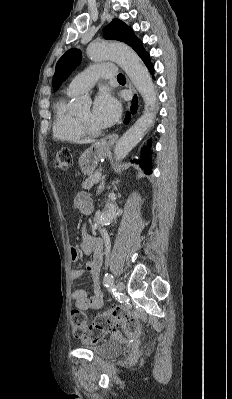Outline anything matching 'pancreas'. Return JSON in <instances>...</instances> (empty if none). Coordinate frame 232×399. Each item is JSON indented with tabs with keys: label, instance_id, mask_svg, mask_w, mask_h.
Returning <instances> with one entry per match:
<instances>
[{
	"label": "pancreas",
	"instance_id": "obj_1",
	"mask_svg": "<svg viewBox=\"0 0 232 399\" xmlns=\"http://www.w3.org/2000/svg\"><path fill=\"white\" fill-rule=\"evenodd\" d=\"M97 172H93V174H90L89 178H87V180H85V182H82L81 186L82 188H84V190H90V188H92V186H94L95 184V176H96Z\"/></svg>",
	"mask_w": 232,
	"mask_h": 399
}]
</instances>
